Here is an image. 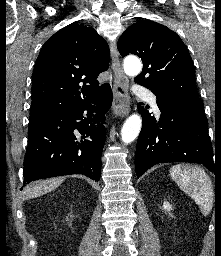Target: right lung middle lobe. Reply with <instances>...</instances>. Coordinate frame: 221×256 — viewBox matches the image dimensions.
<instances>
[{"mask_svg":"<svg viewBox=\"0 0 221 256\" xmlns=\"http://www.w3.org/2000/svg\"><path fill=\"white\" fill-rule=\"evenodd\" d=\"M31 119H32V118L30 117V123L32 122Z\"/></svg>","mask_w":221,"mask_h":256,"instance_id":"dd1d6c3e","label":"right lung middle lobe"}]
</instances>
